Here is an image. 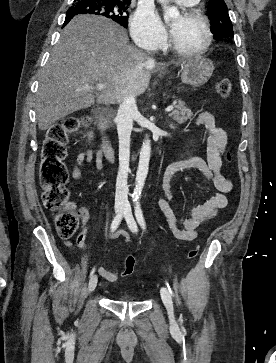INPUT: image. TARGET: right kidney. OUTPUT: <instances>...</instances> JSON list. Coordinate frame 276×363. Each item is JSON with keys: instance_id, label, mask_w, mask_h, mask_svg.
Here are the masks:
<instances>
[{"instance_id": "obj_1", "label": "right kidney", "mask_w": 276, "mask_h": 363, "mask_svg": "<svg viewBox=\"0 0 276 363\" xmlns=\"http://www.w3.org/2000/svg\"><path fill=\"white\" fill-rule=\"evenodd\" d=\"M93 137L92 132L89 133V138L91 139Z\"/></svg>"}]
</instances>
